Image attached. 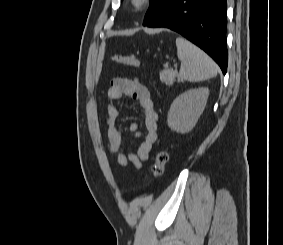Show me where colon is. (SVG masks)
<instances>
[{"mask_svg":"<svg viewBox=\"0 0 283 245\" xmlns=\"http://www.w3.org/2000/svg\"><path fill=\"white\" fill-rule=\"evenodd\" d=\"M112 59L118 63L125 64L132 68H137L140 65L139 60L134 55L114 54ZM169 160L168 152L164 149L159 150L154 158L152 167L153 177L156 179L160 177L165 170L166 164Z\"/></svg>","mask_w":283,"mask_h":245,"instance_id":"obj_1","label":"colon"}]
</instances>
